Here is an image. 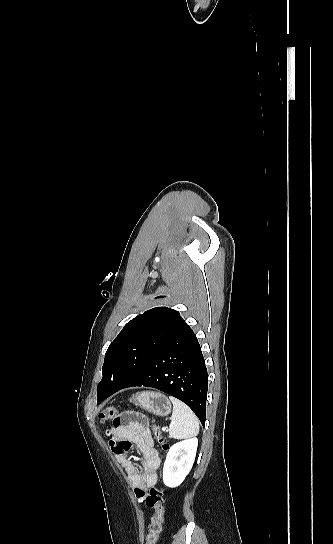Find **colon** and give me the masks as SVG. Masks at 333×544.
<instances>
[{
	"instance_id": "1",
	"label": "colon",
	"mask_w": 333,
	"mask_h": 544,
	"mask_svg": "<svg viewBox=\"0 0 333 544\" xmlns=\"http://www.w3.org/2000/svg\"><path fill=\"white\" fill-rule=\"evenodd\" d=\"M117 414V409L115 407H107L99 413V420L101 422H106L113 419ZM152 430L155 436V439L159 446L163 450H168L169 445L162 437L159 427L156 424L152 425ZM145 503L147 507L154 509V515L151 519L149 526V533L146 539V544H155L159 538V535L162 531V524L164 518V491L160 486H153L149 493L145 497Z\"/></svg>"
}]
</instances>
